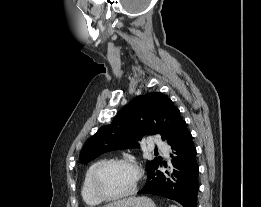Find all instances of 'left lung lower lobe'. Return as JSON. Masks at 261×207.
<instances>
[{
  "instance_id": "1",
  "label": "left lung lower lobe",
  "mask_w": 261,
  "mask_h": 207,
  "mask_svg": "<svg viewBox=\"0 0 261 207\" xmlns=\"http://www.w3.org/2000/svg\"><path fill=\"white\" fill-rule=\"evenodd\" d=\"M172 150L171 164H160L148 173L147 181L138 194H153L179 202L183 207H197L199 190V166L192 135L183 120L169 144ZM167 170L161 172L158 167Z\"/></svg>"
}]
</instances>
